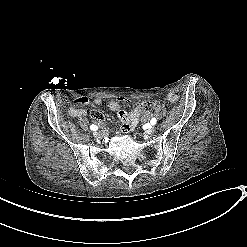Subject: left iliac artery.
Here are the masks:
<instances>
[{
    "label": "left iliac artery",
    "mask_w": 247,
    "mask_h": 247,
    "mask_svg": "<svg viewBox=\"0 0 247 247\" xmlns=\"http://www.w3.org/2000/svg\"><path fill=\"white\" fill-rule=\"evenodd\" d=\"M150 123H151L152 125H155V124L157 123L156 118H152L151 121H150Z\"/></svg>",
    "instance_id": "1"
}]
</instances>
